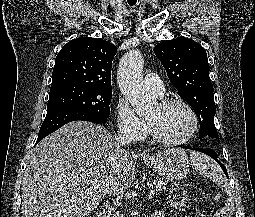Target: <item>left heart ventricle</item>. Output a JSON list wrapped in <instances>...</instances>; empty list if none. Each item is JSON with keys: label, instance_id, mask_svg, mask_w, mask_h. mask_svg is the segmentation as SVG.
Here are the masks:
<instances>
[{"label": "left heart ventricle", "instance_id": "left-heart-ventricle-1", "mask_svg": "<svg viewBox=\"0 0 255 217\" xmlns=\"http://www.w3.org/2000/svg\"><path fill=\"white\" fill-rule=\"evenodd\" d=\"M147 120L159 136L170 140L185 137L192 127L189 112L178 104L166 108L156 105L147 115Z\"/></svg>", "mask_w": 255, "mask_h": 217}]
</instances>
